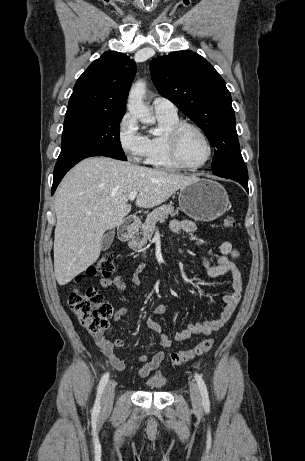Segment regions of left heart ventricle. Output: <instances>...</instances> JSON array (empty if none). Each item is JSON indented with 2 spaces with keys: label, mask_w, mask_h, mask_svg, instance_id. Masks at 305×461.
Segmentation results:
<instances>
[{
  "label": "left heart ventricle",
  "mask_w": 305,
  "mask_h": 461,
  "mask_svg": "<svg viewBox=\"0 0 305 461\" xmlns=\"http://www.w3.org/2000/svg\"><path fill=\"white\" fill-rule=\"evenodd\" d=\"M179 150L182 159L192 166L202 163L208 152L203 139L191 129H186L182 133Z\"/></svg>",
  "instance_id": "left-heart-ventricle-1"
}]
</instances>
